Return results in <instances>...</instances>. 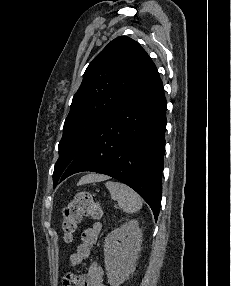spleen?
I'll return each instance as SVG.
<instances>
[{
	"instance_id": "1",
	"label": "spleen",
	"mask_w": 231,
	"mask_h": 286,
	"mask_svg": "<svg viewBox=\"0 0 231 286\" xmlns=\"http://www.w3.org/2000/svg\"><path fill=\"white\" fill-rule=\"evenodd\" d=\"M105 186L109 190L111 198L118 202L124 212L134 213L142 207L141 197L127 185L116 181H107Z\"/></svg>"
}]
</instances>
